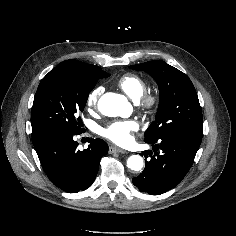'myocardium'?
Returning <instances> with one entry per match:
<instances>
[{"label": "myocardium", "mask_w": 236, "mask_h": 236, "mask_svg": "<svg viewBox=\"0 0 236 236\" xmlns=\"http://www.w3.org/2000/svg\"><path fill=\"white\" fill-rule=\"evenodd\" d=\"M138 103L144 111L151 113L157 107L158 97L153 93H144Z\"/></svg>", "instance_id": "1"}]
</instances>
